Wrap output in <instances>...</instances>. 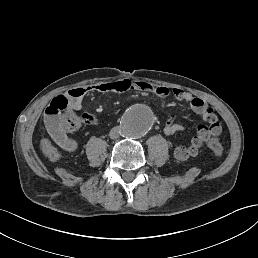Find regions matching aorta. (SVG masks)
<instances>
[{"instance_id": "obj_1", "label": "aorta", "mask_w": 258, "mask_h": 258, "mask_svg": "<svg viewBox=\"0 0 258 258\" xmlns=\"http://www.w3.org/2000/svg\"><path fill=\"white\" fill-rule=\"evenodd\" d=\"M153 122V113L148 106L134 105L121 118V133L129 139L141 138L151 128Z\"/></svg>"}]
</instances>
